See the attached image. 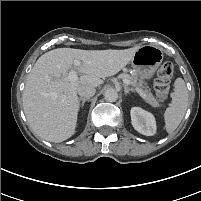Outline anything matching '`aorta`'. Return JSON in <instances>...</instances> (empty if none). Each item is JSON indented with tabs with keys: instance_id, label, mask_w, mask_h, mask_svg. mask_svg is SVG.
<instances>
[{
	"instance_id": "762f6f07",
	"label": "aorta",
	"mask_w": 201,
	"mask_h": 201,
	"mask_svg": "<svg viewBox=\"0 0 201 201\" xmlns=\"http://www.w3.org/2000/svg\"><path fill=\"white\" fill-rule=\"evenodd\" d=\"M118 97V92L113 88H108L104 93V99L109 102L117 101Z\"/></svg>"
}]
</instances>
